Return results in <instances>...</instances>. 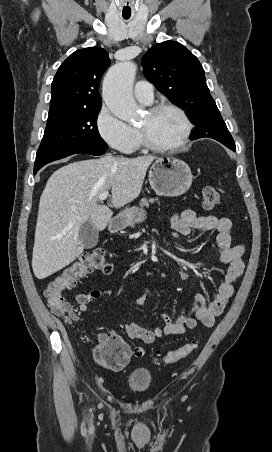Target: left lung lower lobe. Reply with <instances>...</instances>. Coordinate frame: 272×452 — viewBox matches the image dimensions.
Listing matches in <instances>:
<instances>
[{
  "label": "left lung lower lobe",
  "instance_id": "0a47b994",
  "mask_svg": "<svg viewBox=\"0 0 272 452\" xmlns=\"http://www.w3.org/2000/svg\"><path fill=\"white\" fill-rule=\"evenodd\" d=\"M192 140L193 139H197V138H200V137H198V136H192L191 135V137H190ZM228 139H230V138H220L219 140H217V141H219L220 143H222L223 145H225V146H227L228 148H230L231 150H233V151H235L236 150V147H235V149H232L231 147V144H230V142H231V140H228Z\"/></svg>",
  "mask_w": 272,
  "mask_h": 452
}]
</instances>
